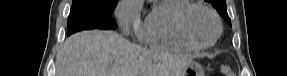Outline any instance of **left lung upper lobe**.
Returning <instances> with one entry per match:
<instances>
[{
  "label": "left lung upper lobe",
  "instance_id": "obj_1",
  "mask_svg": "<svg viewBox=\"0 0 287 76\" xmlns=\"http://www.w3.org/2000/svg\"><path fill=\"white\" fill-rule=\"evenodd\" d=\"M210 2L214 8L217 9L218 13L226 20V22L231 26L230 18L227 14L226 2L224 0H205Z\"/></svg>",
  "mask_w": 287,
  "mask_h": 76
}]
</instances>
